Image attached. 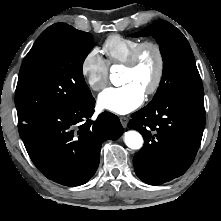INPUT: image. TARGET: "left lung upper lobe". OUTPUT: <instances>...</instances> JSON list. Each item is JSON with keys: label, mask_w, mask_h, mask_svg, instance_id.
<instances>
[{"label": "left lung upper lobe", "mask_w": 221, "mask_h": 221, "mask_svg": "<svg viewBox=\"0 0 221 221\" xmlns=\"http://www.w3.org/2000/svg\"><path fill=\"white\" fill-rule=\"evenodd\" d=\"M133 37L152 36L163 58V75L153 98L174 95L204 99V91L191 47L179 29L166 21H155Z\"/></svg>", "instance_id": "left-lung-upper-lobe-1"}]
</instances>
